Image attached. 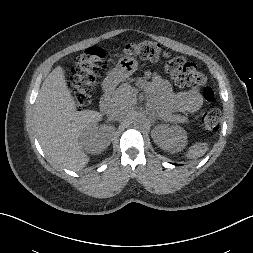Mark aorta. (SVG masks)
<instances>
[{
  "mask_svg": "<svg viewBox=\"0 0 253 253\" xmlns=\"http://www.w3.org/2000/svg\"><path fill=\"white\" fill-rule=\"evenodd\" d=\"M133 121L136 124H142L146 121V116L141 112H135L133 114Z\"/></svg>",
  "mask_w": 253,
  "mask_h": 253,
  "instance_id": "762f6f07",
  "label": "aorta"
}]
</instances>
